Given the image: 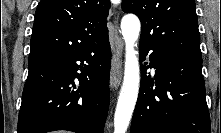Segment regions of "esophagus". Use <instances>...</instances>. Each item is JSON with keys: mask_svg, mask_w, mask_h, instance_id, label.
<instances>
[{"mask_svg": "<svg viewBox=\"0 0 221 133\" xmlns=\"http://www.w3.org/2000/svg\"><path fill=\"white\" fill-rule=\"evenodd\" d=\"M123 50L124 44L121 36L118 33L117 24L115 22L114 28V53L112 56L110 86L111 89L116 90L122 79L123 66Z\"/></svg>", "mask_w": 221, "mask_h": 133, "instance_id": "1", "label": "esophagus"}]
</instances>
